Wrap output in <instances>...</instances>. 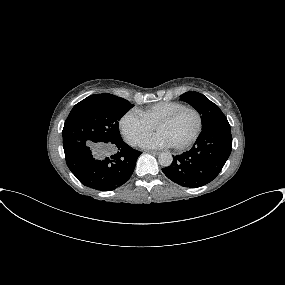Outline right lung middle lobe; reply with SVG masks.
Segmentation results:
<instances>
[{"instance_id":"right-lung-middle-lobe-1","label":"right lung middle lobe","mask_w":285,"mask_h":285,"mask_svg":"<svg viewBox=\"0 0 285 285\" xmlns=\"http://www.w3.org/2000/svg\"><path fill=\"white\" fill-rule=\"evenodd\" d=\"M133 105L112 94H94L77 103L63 128V144L70 141L114 143L121 140L120 118Z\"/></svg>"}]
</instances>
